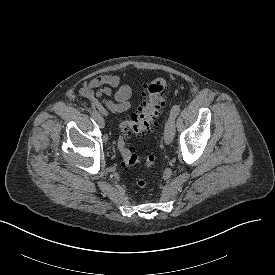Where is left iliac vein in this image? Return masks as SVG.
Returning a JSON list of instances; mask_svg holds the SVG:
<instances>
[{
	"mask_svg": "<svg viewBox=\"0 0 275 275\" xmlns=\"http://www.w3.org/2000/svg\"><path fill=\"white\" fill-rule=\"evenodd\" d=\"M175 135V118L170 116L165 124L164 141L169 144L173 141Z\"/></svg>",
	"mask_w": 275,
	"mask_h": 275,
	"instance_id": "left-iliac-vein-1",
	"label": "left iliac vein"
}]
</instances>
